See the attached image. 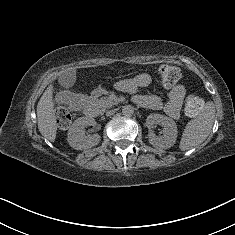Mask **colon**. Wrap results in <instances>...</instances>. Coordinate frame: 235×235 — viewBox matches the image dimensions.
<instances>
[{"label":"colon","mask_w":235,"mask_h":235,"mask_svg":"<svg viewBox=\"0 0 235 235\" xmlns=\"http://www.w3.org/2000/svg\"><path fill=\"white\" fill-rule=\"evenodd\" d=\"M179 77V70L172 66H164L158 72L159 83L164 88H169L174 85L178 81ZM202 106L203 103L199 97L195 95H189L185 102L184 111L186 116L189 118L196 117L201 111ZM54 115L60 128L65 129L70 125L72 115L67 108L63 106L56 107Z\"/></svg>","instance_id":"5ec220e1"}]
</instances>
